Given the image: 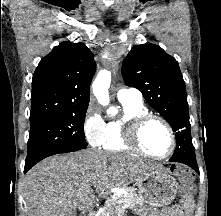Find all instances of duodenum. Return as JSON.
I'll return each mask as SVG.
<instances>
[{
  "mask_svg": "<svg viewBox=\"0 0 221 216\" xmlns=\"http://www.w3.org/2000/svg\"><path fill=\"white\" fill-rule=\"evenodd\" d=\"M87 216H96L95 211H90Z\"/></svg>",
  "mask_w": 221,
  "mask_h": 216,
  "instance_id": "1",
  "label": "duodenum"
}]
</instances>
